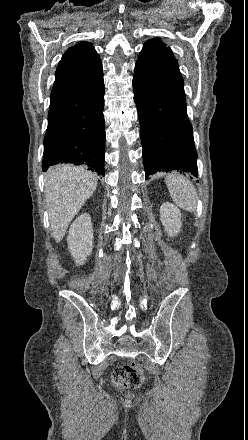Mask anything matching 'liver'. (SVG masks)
<instances>
[{"mask_svg": "<svg viewBox=\"0 0 248 440\" xmlns=\"http://www.w3.org/2000/svg\"><path fill=\"white\" fill-rule=\"evenodd\" d=\"M97 183L93 173L74 165H57L48 171L45 176L46 203L52 235L57 243L96 190Z\"/></svg>", "mask_w": 248, "mask_h": 440, "instance_id": "obj_1", "label": "liver"}]
</instances>
